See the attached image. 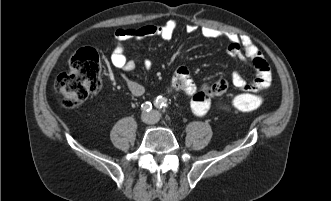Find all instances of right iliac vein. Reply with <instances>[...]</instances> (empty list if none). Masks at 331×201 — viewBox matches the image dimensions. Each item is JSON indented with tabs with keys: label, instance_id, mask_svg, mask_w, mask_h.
Returning a JSON list of instances; mask_svg holds the SVG:
<instances>
[{
	"label": "right iliac vein",
	"instance_id": "63e3f726",
	"mask_svg": "<svg viewBox=\"0 0 331 201\" xmlns=\"http://www.w3.org/2000/svg\"><path fill=\"white\" fill-rule=\"evenodd\" d=\"M144 120H148V118H149V115H144Z\"/></svg>",
	"mask_w": 331,
	"mask_h": 201
}]
</instances>
